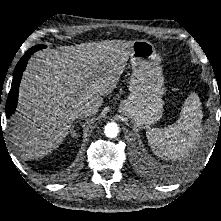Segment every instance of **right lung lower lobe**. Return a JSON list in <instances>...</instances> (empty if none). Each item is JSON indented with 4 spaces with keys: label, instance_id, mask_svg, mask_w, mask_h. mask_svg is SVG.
Listing matches in <instances>:
<instances>
[{
    "label": "right lung lower lobe",
    "instance_id": "obj_1",
    "mask_svg": "<svg viewBox=\"0 0 221 221\" xmlns=\"http://www.w3.org/2000/svg\"><path fill=\"white\" fill-rule=\"evenodd\" d=\"M39 47L34 46L30 48L25 55L20 59L18 64L15 67L14 70V77L11 85V90L9 92V96L6 102V116L9 118L12 113H14L17 105V99H18V89H19V84L20 80L22 77V73L25 70V67L27 65V61L29 60L30 56L38 49Z\"/></svg>",
    "mask_w": 221,
    "mask_h": 221
}]
</instances>
